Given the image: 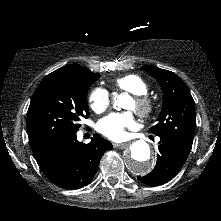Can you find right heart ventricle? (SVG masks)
Listing matches in <instances>:
<instances>
[{"label":"right heart ventricle","instance_id":"1","mask_svg":"<svg viewBox=\"0 0 221 221\" xmlns=\"http://www.w3.org/2000/svg\"><path fill=\"white\" fill-rule=\"evenodd\" d=\"M113 86L133 95H146L148 92L146 82L136 74H127L116 78L113 81Z\"/></svg>","mask_w":221,"mask_h":221}]
</instances>
